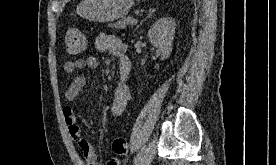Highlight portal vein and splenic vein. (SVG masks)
Returning <instances> with one entry per match:
<instances>
[{
	"label": "portal vein and splenic vein",
	"mask_w": 276,
	"mask_h": 165,
	"mask_svg": "<svg viewBox=\"0 0 276 165\" xmlns=\"http://www.w3.org/2000/svg\"><path fill=\"white\" fill-rule=\"evenodd\" d=\"M129 23H130V24H136V23H137V19H131V20L129 21Z\"/></svg>",
	"instance_id": "portal-vein-and-splenic-vein-1"
}]
</instances>
